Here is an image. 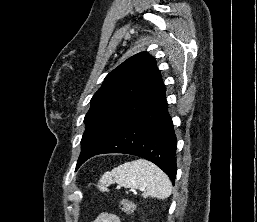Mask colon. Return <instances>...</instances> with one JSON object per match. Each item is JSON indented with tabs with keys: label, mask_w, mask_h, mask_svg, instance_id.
Instances as JSON below:
<instances>
[{
	"label": "colon",
	"mask_w": 257,
	"mask_h": 222,
	"mask_svg": "<svg viewBox=\"0 0 257 222\" xmlns=\"http://www.w3.org/2000/svg\"><path fill=\"white\" fill-rule=\"evenodd\" d=\"M121 207H122V210H123L124 212H129V206H128V203H127L126 201H123V202H122Z\"/></svg>",
	"instance_id": "obj_1"
}]
</instances>
